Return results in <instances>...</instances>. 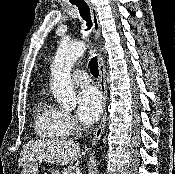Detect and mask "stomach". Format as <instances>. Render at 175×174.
<instances>
[{
  "label": "stomach",
  "instance_id": "obj_1",
  "mask_svg": "<svg viewBox=\"0 0 175 174\" xmlns=\"http://www.w3.org/2000/svg\"><path fill=\"white\" fill-rule=\"evenodd\" d=\"M54 173L59 174V171L56 170ZM21 174H38V166L35 163H29L23 167Z\"/></svg>",
  "mask_w": 175,
  "mask_h": 174
}]
</instances>
